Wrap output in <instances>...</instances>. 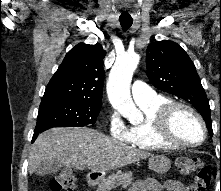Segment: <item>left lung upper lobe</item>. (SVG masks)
<instances>
[{
  "instance_id": "left-lung-upper-lobe-1",
  "label": "left lung upper lobe",
  "mask_w": 221,
  "mask_h": 191,
  "mask_svg": "<svg viewBox=\"0 0 221 191\" xmlns=\"http://www.w3.org/2000/svg\"><path fill=\"white\" fill-rule=\"evenodd\" d=\"M146 66L150 82L192 104L204 118L209 134L213 135L209 100L195 65L184 49L168 40L151 43L146 51Z\"/></svg>"
}]
</instances>
